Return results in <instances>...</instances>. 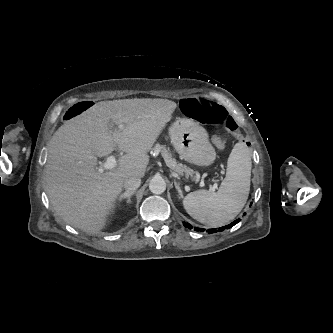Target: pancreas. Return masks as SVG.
<instances>
[{
  "mask_svg": "<svg viewBox=\"0 0 333 333\" xmlns=\"http://www.w3.org/2000/svg\"><path fill=\"white\" fill-rule=\"evenodd\" d=\"M157 153H161V155L164 157V160L167 164V166L172 170L173 173L176 175H185L187 178H195V172L188 168L187 166L177 163L175 159L172 158V155L170 152L166 149L165 146L156 144L153 149Z\"/></svg>",
  "mask_w": 333,
  "mask_h": 333,
  "instance_id": "pancreas-1",
  "label": "pancreas"
}]
</instances>
